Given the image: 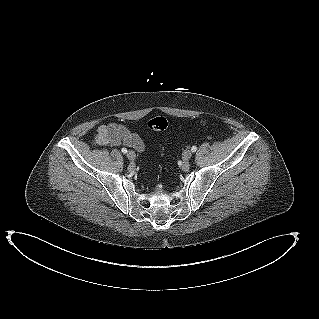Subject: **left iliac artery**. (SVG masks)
<instances>
[{
    "instance_id": "44dca946",
    "label": "left iliac artery",
    "mask_w": 319,
    "mask_h": 319,
    "mask_svg": "<svg viewBox=\"0 0 319 319\" xmlns=\"http://www.w3.org/2000/svg\"><path fill=\"white\" fill-rule=\"evenodd\" d=\"M196 150H197V147L196 146H192L191 151L195 152Z\"/></svg>"
}]
</instances>
